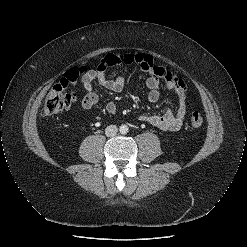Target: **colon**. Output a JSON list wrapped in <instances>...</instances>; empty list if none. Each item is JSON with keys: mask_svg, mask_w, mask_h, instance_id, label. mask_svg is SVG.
Wrapping results in <instances>:
<instances>
[{"mask_svg": "<svg viewBox=\"0 0 247 247\" xmlns=\"http://www.w3.org/2000/svg\"><path fill=\"white\" fill-rule=\"evenodd\" d=\"M86 72L85 68H73L68 71L58 84L48 93L43 108V116H53L71 108L77 100L75 82L80 74ZM203 123V116L199 111H193L189 117V124L193 128H198Z\"/></svg>", "mask_w": 247, "mask_h": 247, "instance_id": "colon-1", "label": "colon"}]
</instances>
